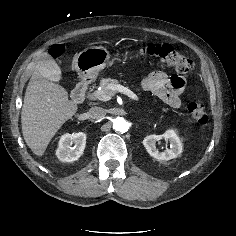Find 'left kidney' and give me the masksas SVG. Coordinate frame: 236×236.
Here are the masks:
<instances>
[{"label": "left kidney", "mask_w": 236, "mask_h": 236, "mask_svg": "<svg viewBox=\"0 0 236 236\" xmlns=\"http://www.w3.org/2000/svg\"><path fill=\"white\" fill-rule=\"evenodd\" d=\"M166 139L170 142V148L160 152L156 148V142L160 139ZM143 145L150 156L157 160H170L178 157L182 153V142L174 130H167L162 135H149L144 138Z\"/></svg>", "instance_id": "left-kidney-1"}]
</instances>
